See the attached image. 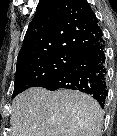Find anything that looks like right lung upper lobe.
<instances>
[{"instance_id": "cb5924a9", "label": "right lung upper lobe", "mask_w": 117, "mask_h": 136, "mask_svg": "<svg viewBox=\"0 0 117 136\" xmlns=\"http://www.w3.org/2000/svg\"><path fill=\"white\" fill-rule=\"evenodd\" d=\"M101 33L87 1L40 0L18 54L17 68L62 52L79 54L95 43Z\"/></svg>"}]
</instances>
